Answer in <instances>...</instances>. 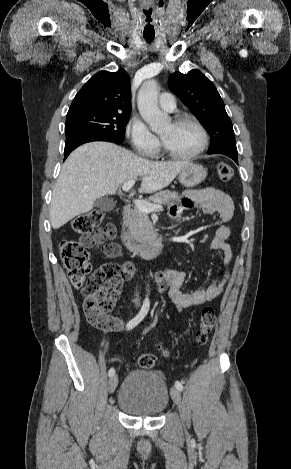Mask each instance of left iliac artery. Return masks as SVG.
<instances>
[{
    "label": "left iliac artery",
    "instance_id": "44dca946",
    "mask_svg": "<svg viewBox=\"0 0 291 469\" xmlns=\"http://www.w3.org/2000/svg\"><path fill=\"white\" fill-rule=\"evenodd\" d=\"M175 386H176V387H177V388H178L180 391H182V390H183V385H182V383H181V382H179V381H176V382H175Z\"/></svg>",
    "mask_w": 291,
    "mask_h": 469
}]
</instances>
